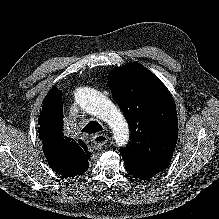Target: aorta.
<instances>
[{
    "label": "aorta",
    "instance_id": "obj_1",
    "mask_svg": "<svg viewBox=\"0 0 219 219\" xmlns=\"http://www.w3.org/2000/svg\"><path fill=\"white\" fill-rule=\"evenodd\" d=\"M74 98L82 109L109 125L118 145L127 143L128 124L120 110L106 96L93 88L80 87L75 91Z\"/></svg>",
    "mask_w": 219,
    "mask_h": 219
}]
</instances>
